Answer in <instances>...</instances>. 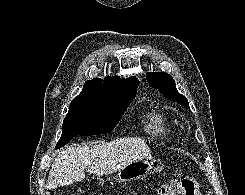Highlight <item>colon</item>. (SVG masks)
<instances>
[{
	"instance_id": "obj_1",
	"label": "colon",
	"mask_w": 245,
	"mask_h": 195,
	"mask_svg": "<svg viewBox=\"0 0 245 195\" xmlns=\"http://www.w3.org/2000/svg\"><path fill=\"white\" fill-rule=\"evenodd\" d=\"M198 183L192 177H182L163 186L158 195H196Z\"/></svg>"
}]
</instances>
